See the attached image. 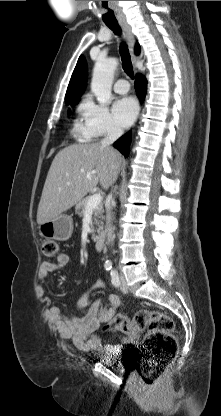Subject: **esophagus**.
Wrapping results in <instances>:
<instances>
[{
    "mask_svg": "<svg viewBox=\"0 0 221 416\" xmlns=\"http://www.w3.org/2000/svg\"><path fill=\"white\" fill-rule=\"evenodd\" d=\"M121 25H122L125 33H126V37H127L128 44H129V49H130V52H131V55H132V60L135 63L136 60H137V57L134 54V45H135L134 34L132 32L131 26L128 23L122 22Z\"/></svg>",
    "mask_w": 221,
    "mask_h": 416,
    "instance_id": "esophagus-1",
    "label": "esophagus"
}]
</instances>
